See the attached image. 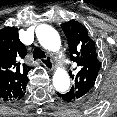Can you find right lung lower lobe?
<instances>
[{
    "mask_svg": "<svg viewBox=\"0 0 117 117\" xmlns=\"http://www.w3.org/2000/svg\"><path fill=\"white\" fill-rule=\"evenodd\" d=\"M25 88H26V86H25ZM25 88H24V90L22 91V93H21L15 100H19L20 98L23 97V95L25 94Z\"/></svg>",
    "mask_w": 117,
    "mask_h": 117,
    "instance_id": "right-lung-lower-lobe-1",
    "label": "right lung lower lobe"
}]
</instances>
